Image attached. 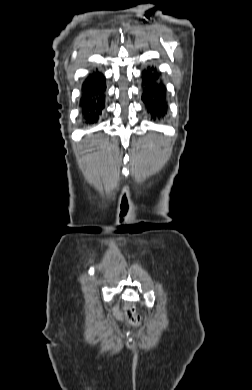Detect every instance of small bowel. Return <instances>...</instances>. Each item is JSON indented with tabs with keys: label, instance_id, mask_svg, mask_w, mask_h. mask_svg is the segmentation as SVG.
<instances>
[{
	"label": "small bowel",
	"instance_id": "obj_1",
	"mask_svg": "<svg viewBox=\"0 0 252 390\" xmlns=\"http://www.w3.org/2000/svg\"><path fill=\"white\" fill-rule=\"evenodd\" d=\"M114 314L117 316L118 319H122V314L118 308H115Z\"/></svg>",
	"mask_w": 252,
	"mask_h": 390
}]
</instances>
